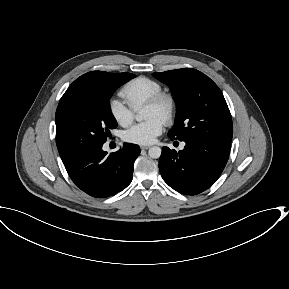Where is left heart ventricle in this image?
I'll use <instances>...</instances> for the list:
<instances>
[{
    "label": "left heart ventricle",
    "mask_w": 289,
    "mask_h": 289,
    "mask_svg": "<svg viewBox=\"0 0 289 289\" xmlns=\"http://www.w3.org/2000/svg\"><path fill=\"white\" fill-rule=\"evenodd\" d=\"M159 117L162 119V116H161V113L158 109L156 108H153V107H145L144 110H143V117L145 119H149L151 117Z\"/></svg>",
    "instance_id": "1"
}]
</instances>
